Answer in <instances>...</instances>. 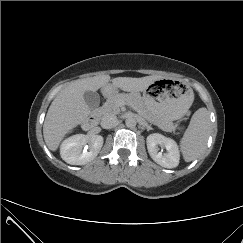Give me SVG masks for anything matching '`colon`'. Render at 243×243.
I'll list each match as a JSON object with an SVG mask.
<instances>
[{"label":"colon","mask_w":243,"mask_h":243,"mask_svg":"<svg viewBox=\"0 0 243 243\" xmlns=\"http://www.w3.org/2000/svg\"><path fill=\"white\" fill-rule=\"evenodd\" d=\"M182 129H183V127H182L181 125H178V126H177V131H178V132L182 131Z\"/></svg>","instance_id":"colon-1"}]
</instances>
